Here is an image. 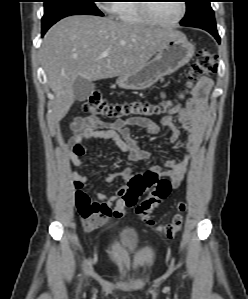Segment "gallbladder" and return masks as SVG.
I'll list each match as a JSON object with an SVG mask.
<instances>
[{
    "label": "gallbladder",
    "instance_id": "gallbladder-1",
    "mask_svg": "<svg viewBox=\"0 0 248 299\" xmlns=\"http://www.w3.org/2000/svg\"><path fill=\"white\" fill-rule=\"evenodd\" d=\"M95 84L82 77H78L73 84V92L77 101H85L93 93Z\"/></svg>",
    "mask_w": 248,
    "mask_h": 299
}]
</instances>
